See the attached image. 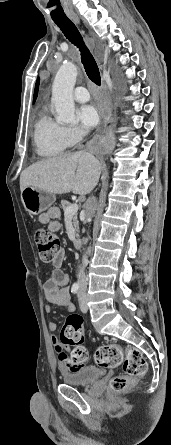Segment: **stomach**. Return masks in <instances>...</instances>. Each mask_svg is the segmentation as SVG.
<instances>
[{
	"label": "stomach",
	"instance_id": "0dacf381",
	"mask_svg": "<svg viewBox=\"0 0 171 445\" xmlns=\"http://www.w3.org/2000/svg\"><path fill=\"white\" fill-rule=\"evenodd\" d=\"M55 199L53 194L32 186H27L21 191L23 206L31 215H38L48 210L54 204Z\"/></svg>",
	"mask_w": 171,
	"mask_h": 445
}]
</instances>
